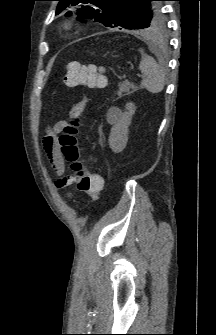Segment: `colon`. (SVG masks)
Listing matches in <instances>:
<instances>
[{"mask_svg":"<svg viewBox=\"0 0 216 335\" xmlns=\"http://www.w3.org/2000/svg\"><path fill=\"white\" fill-rule=\"evenodd\" d=\"M102 69V66L98 65L69 62L66 65L65 83L69 86L103 87L106 85V78L102 74ZM80 125L79 117L67 124L59 136L58 144L61 154L74 175L78 189L92 200L97 201L103 188V178L89 173L80 160L77 139Z\"/></svg>","mask_w":216,"mask_h":335,"instance_id":"obj_1","label":"colon"}]
</instances>
